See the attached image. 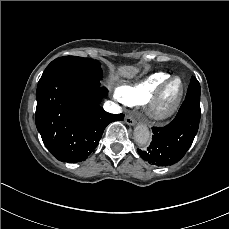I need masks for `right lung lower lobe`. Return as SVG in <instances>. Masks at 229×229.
Wrapping results in <instances>:
<instances>
[{
    "instance_id": "98d812e1",
    "label": "right lung lower lobe",
    "mask_w": 229,
    "mask_h": 229,
    "mask_svg": "<svg viewBox=\"0 0 229 229\" xmlns=\"http://www.w3.org/2000/svg\"><path fill=\"white\" fill-rule=\"evenodd\" d=\"M107 94L99 79L75 73L60 74L38 85L36 126L46 148L58 160L76 163L96 148L105 127L124 118L99 105Z\"/></svg>"
}]
</instances>
